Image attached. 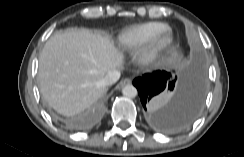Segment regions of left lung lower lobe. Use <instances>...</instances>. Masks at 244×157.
<instances>
[{
  "mask_svg": "<svg viewBox=\"0 0 244 157\" xmlns=\"http://www.w3.org/2000/svg\"><path fill=\"white\" fill-rule=\"evenodd\" d=\"M149 125L162 132L186 128L198 117L205 96L203 68L192 65L181 74L158 70L133 81Z\"/></svg>",
  "mask_w": 244,
  "mask_h": 157,
  "instance_id": "left-lung-lower-lobe-1",
  "label": "left lung lower lobe"
}]
</instances>
